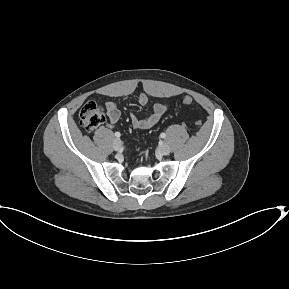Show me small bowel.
Listing matches in <instances>:
<instances>
[{
  "mask_svg": "<svg viewBox=\"0 0 289 289\" xmlns=\"http://www.w3.org/2000/svg\"><path fill=\"white\" fill-rule=\"evenodd\" d=\"M140 105H146L148 103V97L145 94H141L137 98ZM107 110V116L111 125H114L120 119V111L117 107V104L112 101L105 103ZM167 110V106L163 103H154L152 106V112L144 118H139L134 114H131V123L135 129H149L156 125L161 117Z\"/></svg>",
  "mask_w": 289,
  "mask_h": 289,
  "instance_id": "small-bowel-1",
  "label": "small bowel"
}]
</instances>
